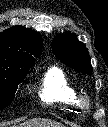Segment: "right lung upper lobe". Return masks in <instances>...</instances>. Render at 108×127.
<instances>
[{"instance_id":"right-lung-upper-lobe-1","label":"right lung upper lobe","mask_w":108,"mask_h":127,"mask_svg":"<svg viewBox=\"0 0 108 127\" xmlns=\"http://www.w3.org/2000/svg\"><path fill=\"white\" fill-rule=\"evenodd\" d=\"M42 46L41 35L22 26L11 27L0 33V59L33 66L34 57L40 56Z\"/></svg>"}]
</instances>
